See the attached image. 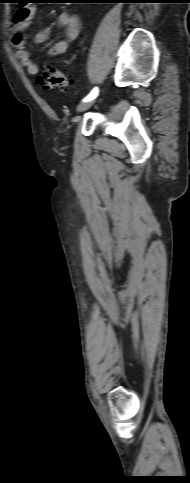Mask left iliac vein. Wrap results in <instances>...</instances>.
Segmentation results:
<instances>
[{
  "mask_svg": "<svg viewBox=\"0 0 190 483\" xmlns=\"http://www.w3.org/2000/svg\"><path fill=\"white\" fill-rule=\"evenodd\" d=\"M95 100H91V101H88L84 104H81L77 107V112H82L84 110H86L87 108H89L90 106H92L94 104Z\"/></svg>",
  "mask_w": 190,
  "mask_h": 483,
  "instance_id": "4c4485c4",
  "label": "left iliac vein"
}]
</instances>
